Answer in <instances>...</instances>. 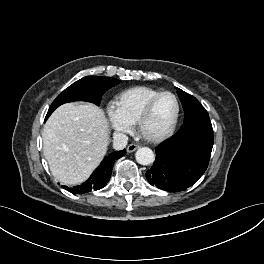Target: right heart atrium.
Wrapping results in <instances>:
<instances>
[{
    "mask_svg": "<svg viewBox=\"0 0 264 264\" xmlns=\"http://www.w3.org/2000/svg\"><path fill=\"white\" fill-rule=\"evenodd\" d=\"M108 119L112 129L117 133H126L130 131L131 124L126 121L121 115L117 112L114 106H109L107 109Z\"/></svg>",
    "mask_w": 264,
    "mask_h": 264,
    "instance_id": "right-heart-atrium-1",
    "label": "right heart atrium"
}]
</instances>
